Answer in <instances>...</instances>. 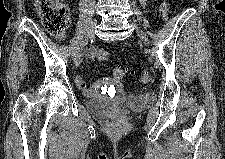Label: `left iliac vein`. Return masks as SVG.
Listing matches in <instances>:
<instances>
[{
    "mask_svg": "<svg viewBox=\"0 0 225 159\" xmlns=\"http://www.w3.org/2000/svg\"><path fill=\"white\" fill-rule=\"evenodd\" d=\"M137 34H138V36L140 37V39H141L142 41H144V43H148L145 34H144L141 30L137 29Z\"/></svg>",
    "mask_w": 225,
    "mask_h": 159,
    "instance_id": "left-iliac-vein-1",
    "label": "left iliac vein"
}]
</instances>
